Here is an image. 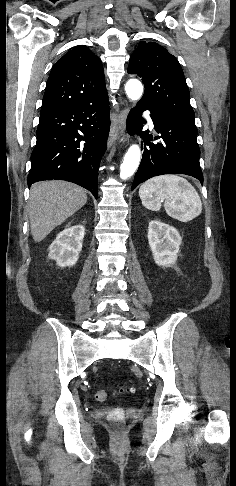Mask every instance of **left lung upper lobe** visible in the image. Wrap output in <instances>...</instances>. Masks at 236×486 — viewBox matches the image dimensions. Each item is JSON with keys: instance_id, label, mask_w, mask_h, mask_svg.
<instances>
[{"instance_id": "obj_1", "label": "left lung upper lobe", "mask_w": 236, "mask_h": 486, "mask_svg": "<svg viewBox=\"0 0 236 486\" xmlns=\"http://www.w3.org/2000/svg\"><path fill=\"white\" fill-rule=\"evenodd\" d=\"M128 73L142 78L145 93L140 101L154 104L173 119L195 125L182 68L164 47L156 42H140L130 56Z\"/></svg>"}]
</instances>
